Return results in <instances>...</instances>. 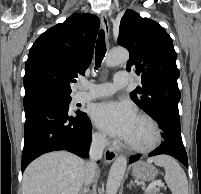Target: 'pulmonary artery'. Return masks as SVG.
Returning <instances> with one entry per match:
<instances>
[{
    "mask_svg": "<svg viewBox=\"0 0 201 194\" xmlns=\"http://www.w3.org/2000/svg\"><path fill=\"white\" fill-rule=\"evenodd\" d=\"M129 82L126 72H118L115 74L113 82L94 84L89 86L88 91H80L76 95L78 102H86L97 98H103L113 95L118 89L125 87ZM83 87L84 84L82 83Z\"/></svg>",
    "mask_w": 201,
    "mask_h": 194,
    "instance_id": "e3ab8cb5",
    "label": "pulmonary artery"
}]
</instances>
